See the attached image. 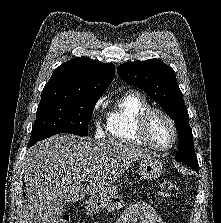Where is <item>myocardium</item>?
Wrapping results in <instances>:
<instances>
[{
  "label": "myocardium",
  "mask_w": 221,
  "mask_h": 223,
  "mask_svg": "<svg viewBox=\"0 0 221 223\" xmlns=\"http://www.w3.org/2000/svg\"><path fill=\"white\" fill-rule=\"evenodd\" d=\"M159 114L162 115L170 124L172 132H173V139L171 143L167 146H159L153 142L149 135V124L151 119L154 115ZM136 132L140 139L146 143L148 146H150L152 149L157 151H168L171 148L174 147L178 140V129L175 123V120L172 118V116L166 112L163 109L151 107L147 110H145L139 117L138 125L136 128Z\"/></svg>",
  "instance_id": "f54148a6"
}]
</instances>
